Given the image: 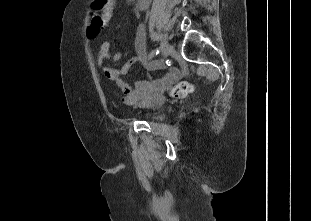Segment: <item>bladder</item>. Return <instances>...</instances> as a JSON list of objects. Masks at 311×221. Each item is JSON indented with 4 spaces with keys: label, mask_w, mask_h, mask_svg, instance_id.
<instances>
[{
    "label": "bladder",
    "mask_w": 311,
    "mask_h": 221,
    "mask_svg": "<svg viewBox=\"0 0 311 221\" xmlns=\"http://www.w3.org/2000/svg\"><path fill=\"white\" fill-rule=\"evenodd\" d=\"M161 106L160 103H154L149 108H144L137 112L138 115H143L147 117L150 121L153 122H160V118H156V112L158 111L159 107Z\"/></svg>",
    "instance_id": "31cf9c89"
}]
</instances>
